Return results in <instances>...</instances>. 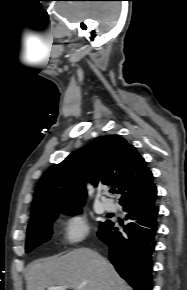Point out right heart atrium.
I'll list each match as a JSON object with an SVG mask.
<instances>
[{
	"label": "right heart atrium",
	"instance_id": "1",
	"mask_svg": "<svg viewBox=\"0 0 187 290\" xmlns=\"http://www.w3.org/2000/svg\"><path fill=\"white\" fill-rule=\"evenodd\" d=\"M89 234L87 218L82 213H74L63 220V239L67 246L80 244Z\"/></svg>",
	"mask_w": 187,
	"mask_h": 290
}]
</instances>
